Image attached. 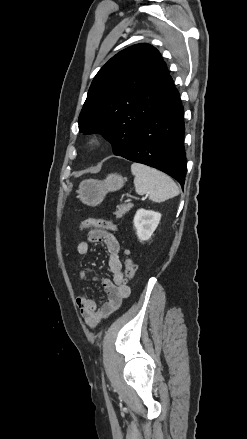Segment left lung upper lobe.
<instances>
[{"mask_svg": "<svg viewBox=\"0 0 247 439\" xmlns=\"http://www.w3.org/2000/svg\"><path fill=\"white\" fill-rule=\"evenodd\" d=\"M175 89L160 53L145 43L112 57L96 74L79 115V131L100 133L122 155L140 123Z\"/></svg>", "mask_w": 247, "mask_h": 439, "instance_id": "obj_1", "label": "left lung upper lobe"}]
</instances>
